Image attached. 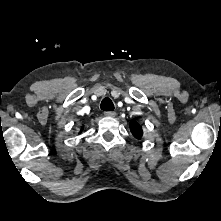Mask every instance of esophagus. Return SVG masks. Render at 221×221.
Masks as SVG:
<instances>
[{
    "label": "esophagus",
    "instance_id": "esophagus-1",
    "mask_svg": "<svg viewBox=\"0 0 221 221\" xmlns=\"http://www.w3.org/2000/svg\"><path fill=\"white\" fill-rule=\"evenodd\" d=\"M104 115L107 116V117H113V116H115V112L114 111H106L104 113Z\"/></svg>",
    "mask_w": 221,
    "mask_h": 221
}]
</instances>
